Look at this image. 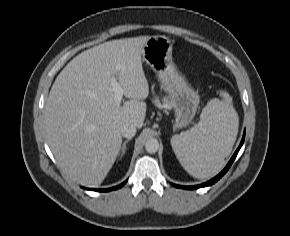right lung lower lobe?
Masks as SVG:
<instances>
[{
  "mask_svg": "<svg viewBox=\"0 0 290 236\" xmlns=\"http://www.w3.org/2000/svg\"><path fill=\"white\" fill-rule=\"evenodd\" d=\"M125 183H126V181L123 182L122 184L118 185V186L113 187V188L103 189V190H100V191H104V192L105 191H112V190H115V189H118V188L122 187ZM88 190H92V189H88Z\"/></svg>",
  "mask_w": 290,
  "mask_h": 236,
  "instance_id": "1",
  "label": "right lung lower lobe"
}]
</instances>
